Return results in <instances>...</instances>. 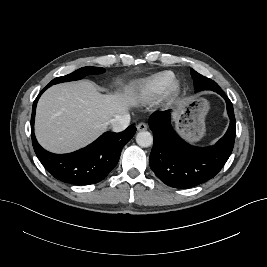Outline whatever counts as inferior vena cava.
<instances>
[{
  "label": "inferior vena cava",
  "mask_w": 267,
  "mask_h": 267,
  "mask_svg": "<svg viewBox=\"0 0 267 267\" xmlns=\"http://www.w3.org/2000/svg\"><path fill=\"white\" fill-rule=\"evenodd\" d=\"M130 123V115L128 113L116 115L110 120L111 128L114 132L125 130Z\"/></svg>",
  "instance_id": "1"
}]
</instances>
